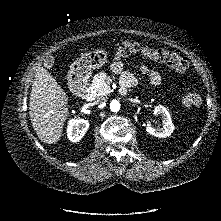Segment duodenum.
I'll use <instances>...</instances> for the list:
<instances>
[{
	"instance_id": "duodenum-1",
	"label": "duodenum",
	"mask_w": 221,
	"mask_h": 221,
	"mask_svg": "<svg viewBox=\"0 0 221 221\" xmlns=\"http://www.w3.org/2000/svg\"><path fill=\"white\" fill-rule=\"evenodd\" d=\"M127 89L123 86L120 88V93L125 94ZM74 92L77 96L83 98L86 101H92L94 99V95L91 91L88 82L82 81L80 78H77L74 81Z\"/></svg>"
}]
</instances>
